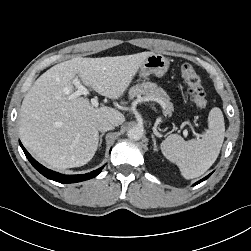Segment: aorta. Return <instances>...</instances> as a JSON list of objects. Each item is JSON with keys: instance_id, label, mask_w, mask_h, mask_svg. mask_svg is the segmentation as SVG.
<instances>
[{"instance_id": "1", "label": "aorta", "mask_w": 251, "mask_h": 251, "mask_svg": "<svg viewBox=\"0 0 251 251\" xmlns=\"http://www.w3.org/2000/svg\"><path fill=\"white\" fill-rule=\"evenodd\" d=\"M127 136L131 140L138 141L143 136V129L141 127H132L128 130Z\"/></svg>"}]
</instances>
